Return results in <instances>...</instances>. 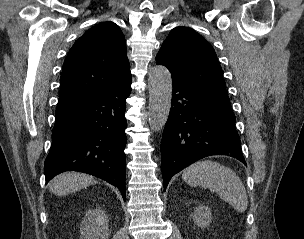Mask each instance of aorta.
Returning <instances> with one entry per match:
<instances>
[{
	"label": "aorta",
	"instance_id": "aorta-1",
	"mask_svg": "<svg viewBox=\"0 0 304 239\" xmlns=\"http://www.w3.org/2000/svg\"><path fill=\"white\" fill-rule=\"evenodd\" d=\"M149 124L158 132L166 124L172 100V78L169 70L162 65L154 66L148 74Z\"/></svg>",
	"mask_w": 304,
	"mask_h": 239
}]
</instances>
